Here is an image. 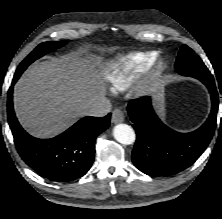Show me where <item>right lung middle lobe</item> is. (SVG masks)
<instances>
[{
  "label": "right lung middle lobe",
  "mask_w": 222,
  "mask_h": 219,
  "mask_svg": "<svg viewBox=\"0 0 222 219\" xmlns=\"http://www.w3.org/2000/svg\"><path fill=\"white\" fill-rule=\"evenodd\" d=\"M65 41L44 42L37 46L19 65L14 76L20 77L23 71L36 59L44 56L46 53L53 51L63 45Z\"/></svg>",
  "instance_id": "dd1d6c3e"
}]
</instances>
